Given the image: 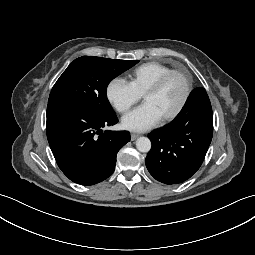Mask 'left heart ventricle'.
I'll list each match as a JSON object with an SVG mask.
<instances>
[{"label":"left heart ventricle","instance_id":"1","mask_svg":"<svg viewBox=\"0 0 255 255\" xmlns=\"http://www.w3.org/2000/svg\"><path fill=\"white\" fill-rule=\"evenodd\" d=\"M185 92V82L182 76L172 75L156 93L144 97L146 103H151L162 117L173 112L180 104Z\"/></svg>","mask_w":255,"mask_h":255}]
</instances>
